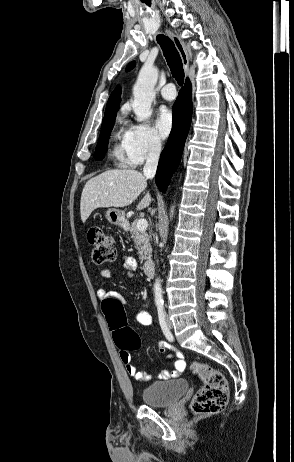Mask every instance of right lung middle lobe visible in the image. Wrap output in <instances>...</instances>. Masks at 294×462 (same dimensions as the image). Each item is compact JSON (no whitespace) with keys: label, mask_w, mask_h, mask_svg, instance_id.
I'll use <instances>...</instances> for the list:
<instances>
[{"label":"right lung middle lobe","mask_w":294,"mask_h":462,"mask_svg":"<svg viewBox=\"0 0 294 462\" xmlns=\"http://www.w3.org/2000/svg\"><path fill=\"white\" fill-rule=\"evenodd\" d=\"M116 115H110L103 118L101 133L98 144L96 146L95 159L100 160L103 158L102 153L107 151L108 140L106 136L111 132Z\"/></svg>","instance_id":"dd1d6c3e"}]
</instances>
